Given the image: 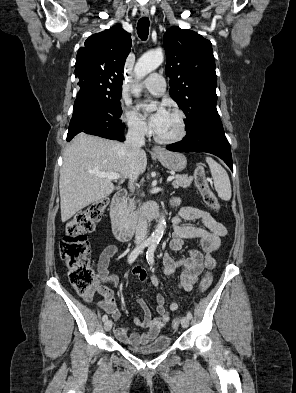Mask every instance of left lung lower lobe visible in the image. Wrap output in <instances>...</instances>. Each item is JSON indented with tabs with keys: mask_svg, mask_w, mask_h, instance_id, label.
Here are the masks:
<instances>
[{
	"mask_svg": "<svg viewBox=\"0 0 296 393\" xmlns=\"http://www.w3.org/2000/svg\"><path fill=\"white\" fill-rule=\"evenodd\" d=\"M174 152H207L221 158L233 171L232 155L220 119L207 120L188 132L184 139L166 146Z\"/></svg>",
	"mask_w": 296,
	"mask_h": 393,
	"instance_id": "1",
	"label": "left lung lower lobe"
}]
</instances>
